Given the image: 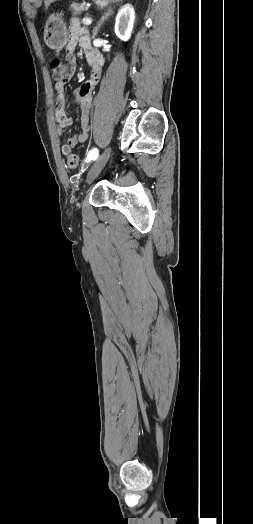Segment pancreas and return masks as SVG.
<instances>
[{"mask_svg":"<svg viewBox=\"0 0 253 524\" xmlns=\"http://www.w3.org/2000/svg\"><path fill=\"white\" fill-rule=\"evenodd\" d=\"M72 15L76 16L82 13V11L88 9V5L86 2L81 3H73L70 7Z\"/></svg>","mask_w":253,"mask_h":524,"instance_id":"pancreas-1","label":"pancreas"}]
</instances>
